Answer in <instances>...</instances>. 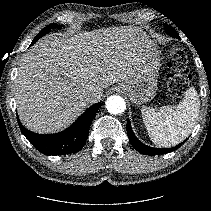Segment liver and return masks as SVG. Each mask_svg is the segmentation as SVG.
I'll return each instance as SVG.
<instances>
[{
    "label": "liver",
    "instance_id": "1",
    "mask_svg": "<svg viewBox=\"0 0 211 211\" xmlns=\"http://www.w3.org/2000/svg\"><path fill=\"white\" fill-rule=\"evenodd\" d=\"M60 36L42 38L23 55L14 84L19 118L38 133L64 130L88 107L86 93L100 100L104 88L134 77L147 48L130 26Z\"/></svg>",
    "mask_w": 211,
    "mask_h": 211
}]
</instances>
